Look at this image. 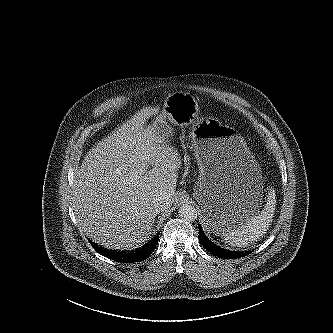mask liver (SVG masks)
I'll return each instance as SVG.
<instances>
[{
	"label": "liver",
	"mask_w": 333,
	"mask_h": 333,
	"mask_svg": "<svg viewBox=\"0 0 333 333\" xmlns=\"http://www.w3.org/2000/svg\"><path fill=\"white\" fill-rule=\"evenodd\" d=\"M155 112L141 110L99 142L74 180L76 220L88 238L106 248L131 250L142 245L157 216L156 196L166 197L170 206L174 202L181 159L146 126Z\"/></svg>",
	"instance_id": "liver-1"
}]
</instances>
